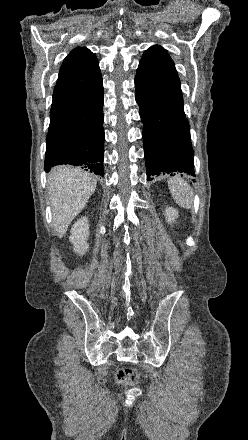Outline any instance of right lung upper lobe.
I'll return each mask as SVG.
<instances>
[{"instance_id": "cb5924a9", "label": "right lung upper lobe", "mask_w": 248, "mask_h": 440, "mask_svg": "<svg viewBox=\"0 0 248 440\" xmlns=\"http://www.w3.org/2000/svg\"><path fill=\"white\" fill-rule=\"evenodd\" d=\"M99 79L101 73L95 54L85 47L75 48L64 59L53 97L86 89Z\"/></svg>"}]
</instances>
